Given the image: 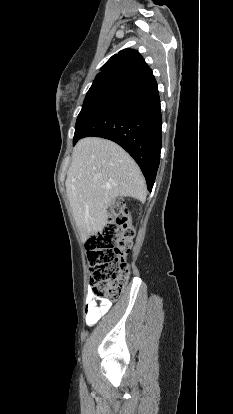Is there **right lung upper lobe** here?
Wrapping results in <instances>:
<instances>
[{
  "mask_svg": "<svg viewBox=\"0 0 233 414\" xmlns=\"http://www.w3.org/2000/svg\"><path fill=\"white\" fill-rule=\"evenodd\" d=\"M152 74L142 56L133 49H124L113 55L101 68L95 79L104 76H119L136 80Z\"/></svg>",
  "mask_w": 233,
  "mask_h": 414,
  "instance_id": "obj_1",
  "label": "right lung upper lobe"
}]
</instances>
